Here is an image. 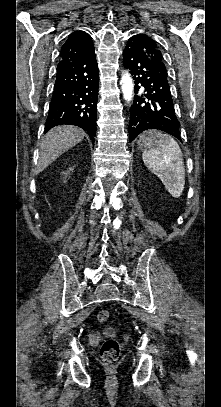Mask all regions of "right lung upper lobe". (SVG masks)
Returning <instances> with one entry per match:
<instances>
[{
    "instance_id": "right-lung-upper-lobe-1",
    "label": "right lung upper lobe",
    "mask_w": 221,
    "mask_h": 407,
    "mask_svg": "<svg viewBox=\"0 0 221 407\" xmlns=\"http://www.w3.org/2000/svg\"><path fill=\"white\" fill-rule=\"evenodd\" d=\"M92 44L91 36L84 31H74L69 34L61 48L57 68L84 56Z\"/></svg>"
}]
</instances>
